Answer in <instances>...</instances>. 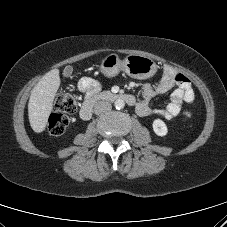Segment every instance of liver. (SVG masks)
Returning <instances> with one entry per match:
<instances>
[{
	"label": "liver",
	"mask_w": 227,
	"mask_h": 227,
	"mask_svg": "<svg viewBox=\"0 0 227 227\" xmlns=\"http://www.w3.org/2000/svg\"><path fill=\"white\" fill-rule=\"evenodd\" d=\"M59 86V70L53 69L46 73L32 89L28 103V116L34 132L41 133L45 130Z\"/></svg>",
	"instance_id": "obj_1"
}]
</instances>
